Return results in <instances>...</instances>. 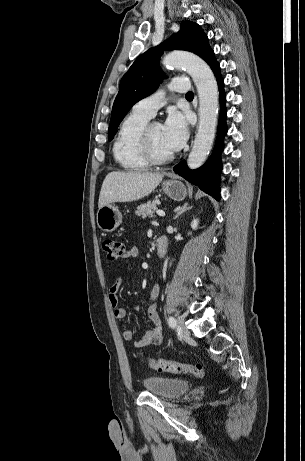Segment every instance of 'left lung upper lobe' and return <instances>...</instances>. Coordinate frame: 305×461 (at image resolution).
<instances>
[{
  "label": "left lung upper lobe",
  "instance_id": "obj_1",
  "mask_svg": "<svg viewBox=\"0 0 305 461\" xmlns=\"http://www.w3.org/2000/svg\"><path fill=\"white\" fill-rule=\"evenodd\" d=\"M174 49L193 52L208 64L214 59V52L202 28L191 21L182 22L178 33L140 55L122 77L113 104L108 129L109 141L113 139L118 125L131 107L158 88L164 78V73L159 66L160 56L164 50Z\"/></svg>",
  "mask_w": 305,
  "mask_h": 461
}]
</instances>
